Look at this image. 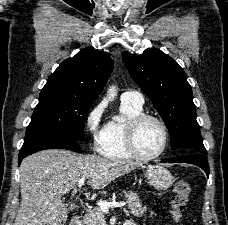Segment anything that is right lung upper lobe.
<instances>
[{"mask_svg":"<svg viewBox=\"0 0 228 225\" xmlns=\"http://www.w3.org/2000/svg\"><path fill=\"white\" fill-rule=\"evenodd\" d=\"M113 69L109 53L89 48L61 63L49 76L43 89H58L94 100L106 84Z\"/></svg>","mask_w":228,"mask_h":225,"instance_id":"1","label":"right lung upper lobe"}]
</instances>
